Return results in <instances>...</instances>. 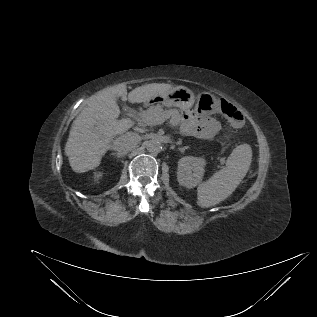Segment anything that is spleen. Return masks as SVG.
<instances>
[{
    "label": "spleen",
    "instance_id": "spleen-1",
    "mask_svg": "<svg viewBox=\"0 0 317 317\" xmlns=\"http://www.w3.org/2000/svg\"><path fill=\"white\" fill-rule=\"evenodd\" d=\"M251 160L250 145L237 146L228 157L226 165L198 186V205L208 208L230 196L248 172Z\"/></svg>",
    "mask_w": 317,
    "mask_h": 317
}]
</instances>
